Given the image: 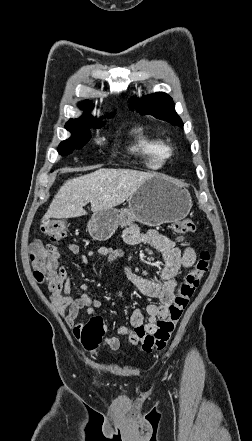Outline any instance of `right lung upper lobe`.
<instances>
[{
    "instance_id": "cb5924a9",
    "label": "right lung upper lobe",
    "mask_w": 252,
    "mask_h": 441,
    "mask_svg": "<svg viewBox=\"0 0 252 441\" xmlns=\"http://www.w3.org/2000/svg\"><path fill=\"white\" fill-rule=\"evenodd\" d=\"M80 107L87 111L88 109H90L92 107V103L90 101H83L82 103H80ZM70 121H77V122H82V123H90V124H96L98 123V121L92 117L91 115H89L88 113H85L82 117H80L79 119H71Z\"/></svg>"
}]
</instances>
